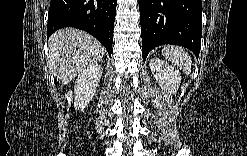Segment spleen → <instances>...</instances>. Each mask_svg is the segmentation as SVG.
<instances>
[{
	"label": "spleen",
	"instance_id": "spleen-1",
	"mask_svg": "<svg viewBox=\"0 0 247 156\" xmlns=\"http://www.w3.org/2000/svg\"><path fill=\"white\" fill-rule=\"evenodd\" d=\"M162 54L168 61L182 69L185 73L189 74L191 72V57L182 47L174 45L165 46L162 49Z\"/></svg>",
	"mask_w": 247,
	"mask_h": 156
}]
</instances>
